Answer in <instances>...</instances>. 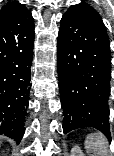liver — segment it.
<instances>
[{
    "label": "liver",
    "instance_id": "6515ba94",
    "mask_svg": "<svg viewBox=\"0 0 114 156\" xmlns=\"http://www.w3.org/2000/svg\"><path fill=\"white\" fill-rule=\"evenodd\" d=\"M1 139H2V137H0V144H1Z\"/></svg>",
    "mask_w": 114,
    "mask_h": 156
}]
</instances>
